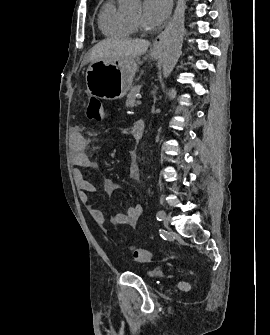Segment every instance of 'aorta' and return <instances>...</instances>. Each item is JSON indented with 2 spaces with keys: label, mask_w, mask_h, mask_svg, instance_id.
<instances>
[{
  "label": "aorta",
  "mask_w": 270,
  "mask_h": 335,
  "mask_svg": "<svg viewBox=\"0 0 270 335\" xmlns=\"http://www.w3.org/2000/svg\"><path fill=\"white\" fill-rule=\"evenodd\" d=\"M186 0H178L174 14L169 22L166 32L165 44L162 56V72L164 78L170 76L181 54L183 36L185 32Z\"/></svg>",
  "instance_id": "obj_1"
}]
</instances>
